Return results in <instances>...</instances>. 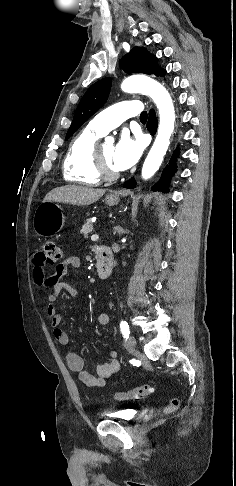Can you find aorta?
Returning <instances> with one entry per match:
<instances>
[{"label":"aorta","mask_w":236,"mask_h":486,"mask_svg":"<svg viewBox=\"0 0 236 486\" xmlns=\"http://www.w3.org/2000/svg\"><path fill=\"white\" fill-rule=\"evenodd\" d=\"M121 89L127 93H143L150 96L159 110L158 133L142 167V178L147 180L157 172L168 150L175 123L173 102L163 85L146 76L137 75L125 79Z\"/></svg>","instance_id":"obj_1"}]
</instances>
